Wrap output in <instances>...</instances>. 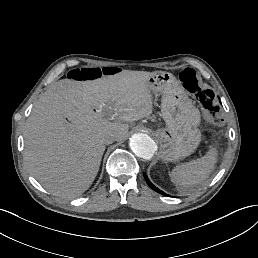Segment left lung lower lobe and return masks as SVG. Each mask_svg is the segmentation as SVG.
I'll use <instances>...</instances> for the list:
<instances>
[{"mask_svg":"<svg viewBox=\"0 0 258 258\" xmlns=\"http://www.w3.org/2000/svg\"><path fill=\"white\" fill-rule=\"evenodd\" d=\"M144 178H145L146 182L148 183V185H149L153 190H155V191H157L158 193L163 194V195H165V196H169V195L165 194L163 191L159 190L157 187H155V186L149 181V179H148V177L146 176V174H144Z\"/></svg>","mask_w":258,"mask_h":258,"instance_id":"left-lung-lower-lobe-1","label":"left lung lower lobe"}]
</instances>
